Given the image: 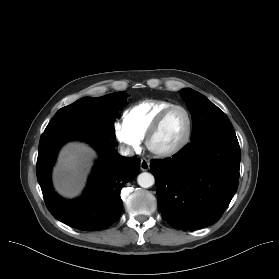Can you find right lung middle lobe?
Masks as SVG:
<instances>
[{
    "instance_id": "obj_1",
    "label": "right lung middle lobe",
    "mask_w": 279,
    "mask_h": 279,
    "mask_svg": "<svg viewBox=\"0 0 279 279\" xmlns=\"http://www.w3.org/2000/svg\"><path fill=\"white\" fill-rule=\"evenodd\" d=\"M128 94L118 92L98 98H82L61 108L51 119L45 131L69 124H85L110 139L115 138L114 121L126 103Z\"/></svg>"
}]
</instances>
